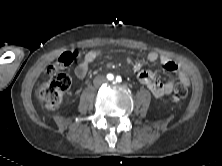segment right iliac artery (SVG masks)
I'll use <instances>...</instances> for the list:
<instances>
[{
  "mask_svg": "<svg viewBox=\"0 0 222 166\" xmlns=\"http://www.w3.org/2000/svg\"><path fill=\"white\" fill-rule=\"evenodd\" d=\"M107 79H108L109 81H112V80L114 79L113 74H111V73L107 74Z\"/></svg>",
  "mask_w": 222,
  "mask_h": 166,
  "instance_id": "right-iliac-artery-1",
  "label": "right iliac artery"
}]
</instances>
